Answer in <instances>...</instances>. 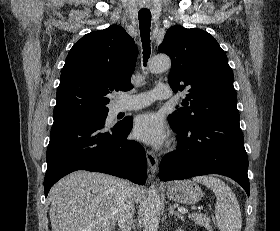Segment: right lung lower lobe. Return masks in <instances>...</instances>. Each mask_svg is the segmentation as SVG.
<instances>
[{"instance_id": "obj_1", "label": "right lung lower lobe", "mask_w": 280, "mask_h": 231, "mask_svg": "<svg viewBox=\"0 0 280 231\" xmlns=\"http://www.w3.org/2000/svg\"><path fill=\"white\" fill-rule=\"evenodd\" d=\"M132 123L104 126L89 123L53 125L47 149L45 197L63 176L88 170L127 178L143 185L146 182V155L136 141L127 140Z\"/></svg>"}]
</instances>
